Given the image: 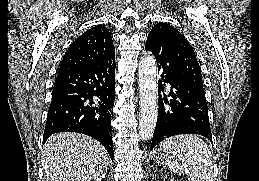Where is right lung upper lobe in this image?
Instances as JSON below:
<instances>
[{
    "label": "right lung upper lobe",
    "mask_w": 259,
    "mask_h": 181,
    "mask_svg": "<svg viewBox=\"0 0 259 181\" xmlns=\"http://www.w3.org/2000/svg\"><path fill=\"white\" fill-rule=\"evenodd\" d=\"M115 57L112 37L105 26L98 25L79 36L66 51L58 74L97 65Z\"/></svg>",
    "instance_id": "1"
}]
</instances>
